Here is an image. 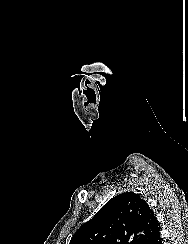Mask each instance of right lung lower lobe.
Instances as JSON below:
<instances>
[{
    "instance_id": "right-lung-lower-lobe-1",
    "label": "right lung lower lobe",
    "mask_w": 188,
    "mask_h": 244,
    "mask_svg": "<svg viewBox=\"0 0 188 244\" xmlns=\"http://www.w3.org/2000/svg\"><path fill=\"white\" fill-rule=\"evenodd\" d=\"M147 244H162L160 238V227L154 231L151 238L148 240Z\"/></svg>"
}]
</instances>
